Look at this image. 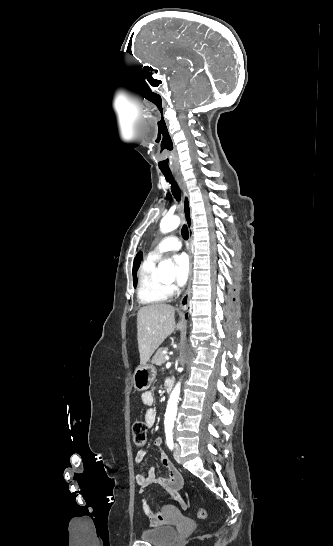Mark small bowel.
Instances as JSON below:
<instances>
[{
    "instance_id": "small-bowel-1",
    "label": "small bowel",
    "mask_w": 333,
    "mask_h": 546,
    "mask_svg": "<svg viewBox=\"0 0 333 546\" xmlns=\"http://www.w3.org/2000/svg\"><path fill=\"white\" fill-rule=\"evenodd\" d=\"M141 400L143 404L148 407L145 412V424L148 427H152L155 424L157 418L156 410L153 407L155 402L154 395L149 391L144 392L141 395ZM154 447L160 449V461L162 466L168 469L169 477H158L153 467H150L145 474H137L136 482L140 487V494H142L148 487L152 485H157L168 494H170L176 504L181 507L186 506L185 500L178 495V491L183 486L182 474L173 466L168 455L163 450H161L162 439L160 437L154 440ZM145 458L146 451L144 450H139L135 455V461L137 463H142ZM141 501L142 509L152 525L159 526L166 523L167 514L172 511V508L170 506H165L160 511H154L149 507L147 501L144 498H142Z\"/></svg>"
}]
</instances>
